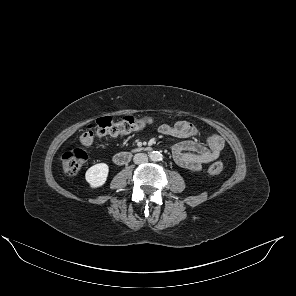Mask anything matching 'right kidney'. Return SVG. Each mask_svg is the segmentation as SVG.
<instances>
[{"instance_id":"ca27d5eb","label":"right kidney","mask_w":296,"mask_h":296,"mask_svg":"<svg viewBox=\"0 0 296 296\" xmlns=\"http://www.w3.org/2000/svg\"><path fill=\"white\" fill-rule=\"evenodd\" d=\"M109 173V167L105 163H99L90 167L85 174V179L91 188H97L105 184Z\"/></svg>"}]
</instances>
